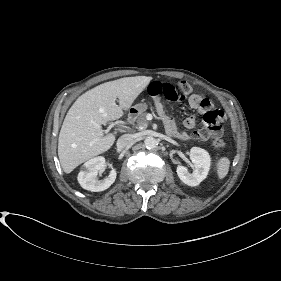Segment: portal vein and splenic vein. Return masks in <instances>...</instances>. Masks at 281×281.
Listing matches in <instances>:
<instances>
[{
	"label": "portal vein and splenic vein",
	"mask_w": 281,
	"mask_h": 281,
	"mask_svg": "<svg viewBox=\"0 0 281 281\" xmlns=\"http://www.w3.org/2000/svg\"><path fill=\"white\" fill-rule=\"evenodd\" d=\"M92 124L97 127V128H101V126L99 124H97L96 122L92 121ZM98 139H95L93 142L97 141Z\"/></svg>",
	"instance_id": "obj_1"
}]
</instances>
